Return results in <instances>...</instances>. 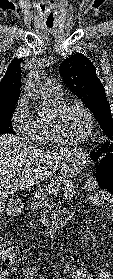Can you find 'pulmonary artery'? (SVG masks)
Segmentation results:
<instances>
[{"label": "pulmonary artery", "mask_w": 113, "mask_h": 279, "mask_svg": "<svg viewBox=\"0 0 113 279\" xmlns=\"http://www.w3.org/2000/svg\"><path fill=\"white\" fill-rule=\"evenodd\" d=\"M42 89L46 94H50L55 97H60L62 94L60 84L52 79L46 80L42 85Z\"/></svg>", "instance_id": "1"}]
</instances>
